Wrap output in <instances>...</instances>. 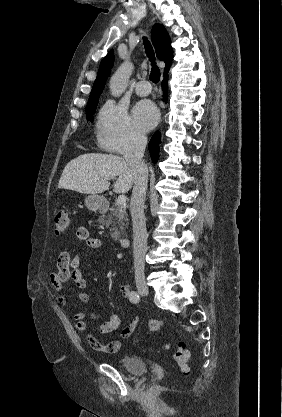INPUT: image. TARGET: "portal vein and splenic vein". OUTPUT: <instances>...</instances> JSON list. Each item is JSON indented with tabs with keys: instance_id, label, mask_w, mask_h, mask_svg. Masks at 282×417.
<instances>
[{
	"instance_id": "portal-vein-and-splenic-vein-1",
	"label": "portal vein and splenic vein",
	"mask_w": 282,
	"mask_h": 417,
	"mask_svg": "<svg viewBox=\"0 0 282 417\" xmlns=\"http://www.w3.org/2000/svg\"><path fill=\"white\" fill-rule=\"evenodd\" d=\"M117 202L118 204H123V202H126V194H119Z\"/></svg>"
}]
</instances>
